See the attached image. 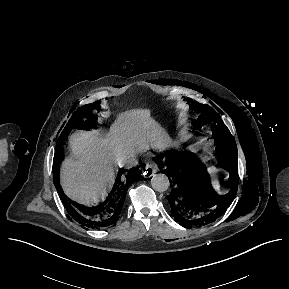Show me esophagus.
<instances>
[{
	"mask_svg": "<svg viewBox=\"0 0 289 289\" xmlns=\"http://www.w3.org/2000/svg\"><path fill=\"white\" fill-rule=\"evenodd\" d=\"M157 164L155 162H150L145 167L144 176L150 178L157 172Z\"/></svg>",
	"mask_w": 289,
	"mask_h": 289,
	"instance_id": "1",
	"label": "esophagus"
}]
</instances>
